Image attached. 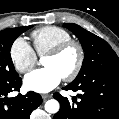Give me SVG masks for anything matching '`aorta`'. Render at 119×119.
Returning <instances> with one entry per match:
<instances>
[{
    "instance_id": "aorta-1",
    "label": "aorta",
    "mask_w": 119,
    "mask_h": 119,
    "mask_svg": "<svg viewBox=\"0 0 119 119\" xmlns=\"http://www.w3.org/2000/svg\"><path fill=\"white\" fill-rule=\"evenodd\" d=\"M60 105L59 102L55 99L48 100L45 103V110L48 113H57L59 111Z\"/></svg>"
}]
</instances>
